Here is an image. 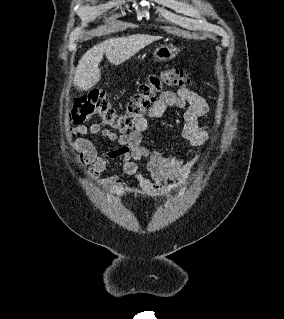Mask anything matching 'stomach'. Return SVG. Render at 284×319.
<instances>
[{"label":"stomach","mask_w":284,"mask_h":319,"mask_svg":"<svg viewBox=\"0 0 284 319\" xmlns=\"http://www.w3.org/2000/svg\"><path fill=\"white\" fill-rule=\"evenodd\" d=\"M179 52V48L171 44H164L156 48L153 53V57L158 61H168L175 58Z\"/></svg>","instance_id":"stomach-1"}]
</instances>
